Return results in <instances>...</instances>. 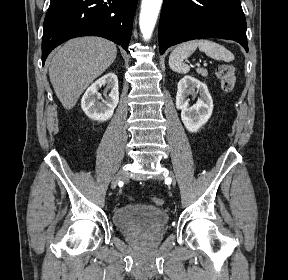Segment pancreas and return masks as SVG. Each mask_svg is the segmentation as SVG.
<instances>
[{
    "instance_id": "pancreas-1",
    "label": "pancreas",
    "mask_w": 288,
    "mask_h": 280,
    "mask_svg": "<svg viewBox=\"0 0 288 280\" xmlns=\"http://www.w3.org/2000/svg\"><path fill=\"white\" fill-rule=\"evenodd\" d=\"M197 73L201 74L203 77H207V75H208L207 70L204 68L197 69Z\"/></svg>"
}]
</instances>
